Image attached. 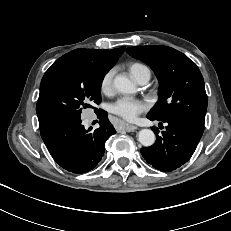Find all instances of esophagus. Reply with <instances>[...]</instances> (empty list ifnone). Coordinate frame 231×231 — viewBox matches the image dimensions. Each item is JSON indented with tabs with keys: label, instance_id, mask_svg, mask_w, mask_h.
Listing matches in <instances>:
<instances>
[{
	"label": "esophagus",
	"instance_id": "obj_1",
	"mask_svg": "<svg viewBox=\"0 0 231 231\" xmlns=\"http://www.w3.org/2000/svg\"><path fill=\"white\" fill-rule=\"evenodd\" d=\"M123 129H124L125 131H127V132H134V131H136V130L138 129V127L135 126V125H131V124H125V125L123 126Z\"/></svg>",
	"mask_w": 231,
	"mask_h": 231
}]
</instances>
